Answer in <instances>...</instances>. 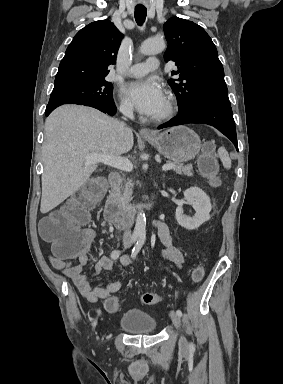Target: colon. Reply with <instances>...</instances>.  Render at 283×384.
Instances as JSON below:
<instances>
[{
	"mask_svg": "<svg viewBox=\"0 0 283 384\" xmlns=\"http://www.w3.org/2000/svg\"><path fill=\"white\" fill-rule=\"evenodd\" d=\"M198 168L201 174L212 184H218V164L214 156L213 146L207 145L198 158ZM106 191L102 178H92L70 199L68 205L60 212L44 218L39 227L42 237L52 243L53 252L62 259L78 258L87 253L92 233L86 228L89 222V211L98 205ZM204 270L198 267L194 270V282H200ZM161 297L155 293H144L142 301L152 305L160 301ZM120 301L116 296H109L104 307L108 312L119 309Z\"/></svg>",
	"mask_w": 283,
	"mask_h": 384,
	"instance_id": "5ec220e1",
	"label": "colon"
}]
</instances>
